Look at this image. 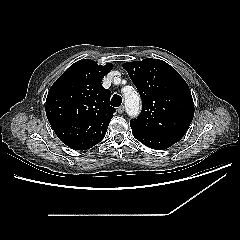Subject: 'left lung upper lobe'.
I'll use <instances>...</instances> for the list:
<instances>
[{
    "label": "left lung upper lobe",
    "instance_id": "5c2ea615",
    "mask_svg": "<svg viewBox=\"0 0 240 240\" xmlns=\"http://www.w3.org/2000/svg\"><path fill=\"white\" fill-rule=\"evenodd\" d=\"M142 99V111L130 121L133 131L143 134L183 136L194 116L190 89L181 75L159 59L123 65Z\"/></svg>",
    "mask_w": 240,
    "mask_h": 240
}]
</instances>
